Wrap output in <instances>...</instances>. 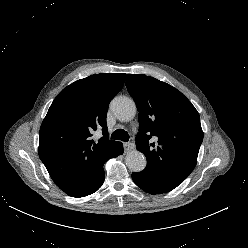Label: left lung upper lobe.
<instances>
[{"label":"left lung upper lobe","instance_id":"1","mask_svg":"<svg viewBox=\"0 0 248 248\" xmlns=\"http://www.w3.org/2000/svg\"><path fill=\"white\" fill-rule=\"evenodd\" d=\"M128 92L139 111L137 150L147 159L143 170L171 188L193 171L203 140L199 113L171 85L144 74H128Z\"/></svg>","mask_w":248,"mask_h":248}]
</instances>
